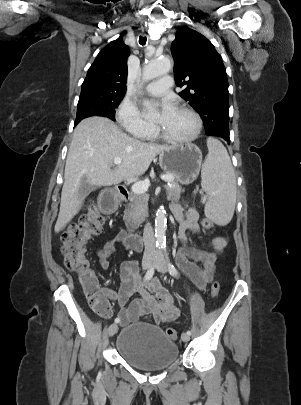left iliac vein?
Segmentation results:
<instances>
[{"mask_svg": "<svg viewBox=\"0 0 301 405\" xmlns=\"http://www.w3.org/2000/svg\"><path fill=\"white\" fill-rule=\"evenodd\" d=\"M154 266L157 269V271L160 273L167 272V264H166L163 254L160 251L157 253L156 258L154 260ZM181 339H182V341L187 342L190 340V335L187 333H183L181 336Z\"/></svg>", "mask_w": 301, "mask_h": 405, "instance_id": "1", "label": "left iliac vein"}]
</instances>
